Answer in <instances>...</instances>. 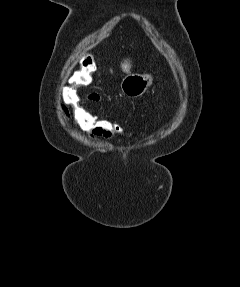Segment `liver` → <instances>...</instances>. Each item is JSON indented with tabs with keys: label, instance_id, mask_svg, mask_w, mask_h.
Segmentation results:
<instances>
[{
	"label": "liver",
	"instance_id": "1",
	"mask_svg": "<svg viewBox=\"0 0 240 287\" xmlns=\"http://www.w3.org/2000/svg\"><path fill=\"white\" fill-rule=\"evenodd\" d=\"M123 72L130 73L131 64L128 60H125L124 63L121 64Z\"/></svg>",
	"mask_w": 240,
	"mask_h": 287
}]
</instances>
